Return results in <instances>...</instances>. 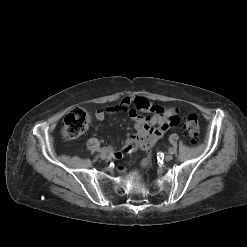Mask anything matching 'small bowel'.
I'll return each instance as SVG.
<instances>
[{
	"label": "small bowel",
	"instance_id": "small-bowel-1",
	"mask_svg": "<svg viewBox=\"0 0 247 247\" xmlns=\"http://www.w3.org/2000/svg\"><path fill=\"white\" fill-rule=\"evenodd\" d=\"M123 111L129 114L136 129V133L128 137L125 141L127 152H133L138 149L148 151L167 132L171 125L178 123V109L163 108L152 104L142 97H125L115 106L98 109L95 112V118L101 121L109 114H116ZM140 112H146L149 115L144 116ZM115 157L117 159L122 158V153H116ZM149 161V157L145 158L142 161V167H147ZM119 171L124 172L125 169L119 167Z\"/></svg>",
	"mask_w": 247,
	"mask_h": 247
}]
</instances>
